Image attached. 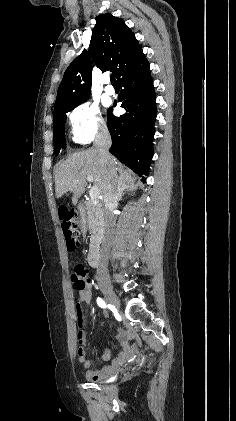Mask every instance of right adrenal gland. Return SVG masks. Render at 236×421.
I'll list each match as a JSON object with an SVG mask.
<instances>
[{"instance_id":"2a0ac1e0","label":"right adrenal gland","mask_w":236,"mask_h":421,"mask_svg":"<svg viewBox=\"0 0 236 421\" xmlns=\"http://www.w3.org/2000/svg\"><path fill=\"white\" fill-rule=\"evenodd\" d=\"M135 188H137V184H124V186H122V192L119 196L120 200H122V196H124L125 192L130 194V190H135Z\"/></svg>"}]
</instances>
